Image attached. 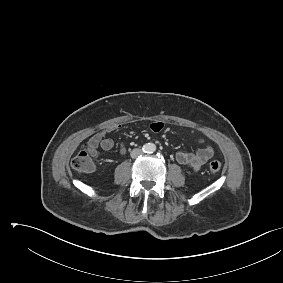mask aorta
Returning a JSON list of instances; mask_svg holds the SVG:
<instances>
[{"label": "aorta", "mask_w": 283, "mask_h": 283, "mask_svg": "<svg viewBox=\"0 0 283 283\" xmlns=\"http://www.w3.org/2000/svg\"><path fill=\"white\" fill-rule=\"evenodd\" d=\"M156 148H155V145L154 144H152V143H148L147 144V151H149V152H152V151H154Z\"/></svg>", "instance_id": "762f6f07"}]
</instances>
